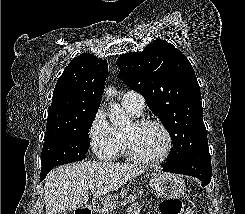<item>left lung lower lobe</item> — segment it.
I'll return each mask as SVG.
<instances>
[{
	"label": "left lung lower lobe",
	"mask_w": 245,
	"mask_h": 214,
	"mask_svg": "<svg viewBox=\"0 0 245 214\" xmlns=\"http://www.w3.org/2000/svg\"><path fill=\"white\" fill-rule=\"evenodd\" d=\"M163 171L194 176L206 186L211 180V158L208 147L192 150L181 157L167 161Z\"/></svg>",
	"instance_id": "left-lung-lower-lobe-1"
}]
</instances>
